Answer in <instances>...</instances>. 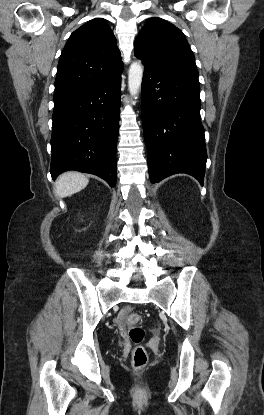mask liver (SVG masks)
I'll return each instance as SVG.
<instances>
[{"instance_id": "6515ba94", "label": "liver", "mask_w": 264, "mask_h": 415, "mask_svg": "<svg viewBox=\"0 0 264 415\" xmlns=\"http://www.w3.org/2000/svg\"><path fill=\"white\" fill-rule=\"evenodd\" d=\"M88 183V178L80 172H65L55 182L56 194L61 198L71 196L84 189Z\"/></svg>"}]
</instances>
